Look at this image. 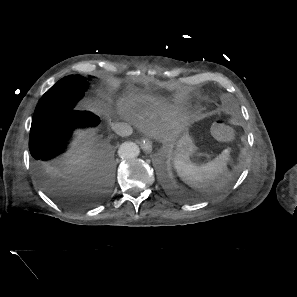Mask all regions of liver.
Listing matches in <instances>:
<instances>
[{
    "label": "liver",
    "mask_w": 297,
    "mask_h": 297,
    "mask_svg": "<svg viewBox=\"0 0 297 297\" xmlns=\"http://www.w3.org/2000/svg\"><path fill=\"white\" fill-rule=\"evenodd\" d=\"M76 134L77 140L74 149L68 154L69 168L64 172H58V174L63 176L64 184L69 190L86 191L91 187L89 185L91 174L84 167H87L92 151L86 141L85 134L80 131H77Z\"/></svg>",
    "instance_id": "obj_1"
}]
</instances>
